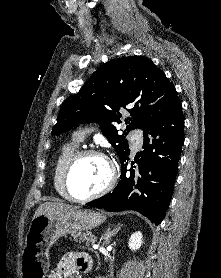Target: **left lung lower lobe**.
Returning <instances> with one entry per match:
<instances>
[{
  "label": "left lung lower lobe",
  "mask_w": 221,
  "mask_h": 278,
  "mask_svg": "<svg viewBox=\"0 0 221 278\" xmlns=\"http://www.w3.org/2000/svg\"><path fill=\"white\" fill-rule=\"evenodd\" d=\"M143 137L144 150L136 154L129 170V154L120 159L122 172L116 188L86 205L111 212L134 210L158 225L172 198L184 142L180 100L157 122L146 127ZM134 163L137 165L133 166Z\"/></svg>",
  "instance_id": "1"
}]
</instances>
